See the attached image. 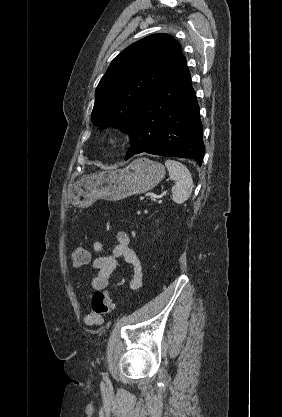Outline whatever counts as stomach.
<instances>
[{"label":"stomach","mask_w":282,"mask_h":417,"mask_svg":"<svg viewBox=\"0 0 282 417\" xmlns=\"http://www.w3.org/2000/svg\"><path fill=\"white\" fill-rule=\"evenodd\" d=\"M164 176L165 166L161 162L140 156L126 168H107L79 178L73 186L72 204L86 209L97 198L121 200L142 194L157 186Z\"/></svg>","instance_id":"stomach-1"}]
</instances>
